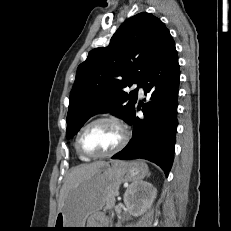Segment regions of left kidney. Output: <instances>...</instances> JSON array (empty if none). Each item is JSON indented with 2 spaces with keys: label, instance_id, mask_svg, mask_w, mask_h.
<instances>
[{
  "label": "left kidney",
  "instance_id": "obj_1",
  "mask_svg": "<svg viewBox=\"0 0 231 231\" xmlns=\"http://www.w3.org/2000/svg\"><path fill=\"white\" fill-rule=\"evenodd\" d=\"M156 195L157 190L151 183H134L127 188L124 203L131 215L138 216L151 207Z\"/></svg>",
  "mask_w": 231,
  "mask_h": 231
}]
</instances>
